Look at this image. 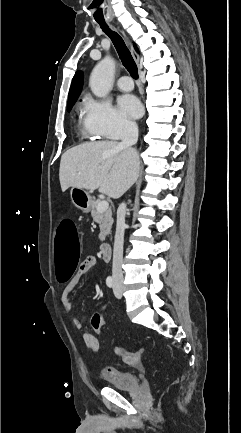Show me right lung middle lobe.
Returning a JSON list of instances; mask_svg holds the SVG:
<instances>
[{"label":"right lung middle lobe","mask_w":241,"mask_h":433,"mask_svg":"<svg viewBox=\"0 0 241 433\" xmlns=\"http://www.w3.org/2000/svg\"><path fill=\"white\" fill-rule=\"evenodd\" d=\"M72 106H67V110L70 111Z\"/></svg>","instance_id":"obj_1"}]
</instances>
